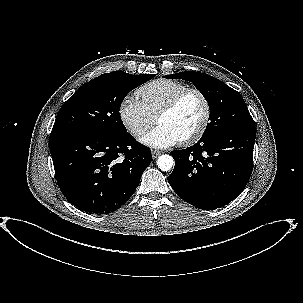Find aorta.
Returning a JSON list of instances; mask_svg holds the SVG:
<instances>
[{
	"mask_svg": "<svg viewBox=\"0 0 303 303\" xmlns=\"http://www.w3.org/2000/svg\"><path fill=\"white\" fill-rule=\"evenodd\" d=\"M174 165V159L170 155H162L157 160V166L162 171L170 170Z\"/></svg>",
	"mask_w": 303,
	"mask_h": 303,
	"instance_id": "aorta-1",
	"label": "aorta"
}]
</instances>
